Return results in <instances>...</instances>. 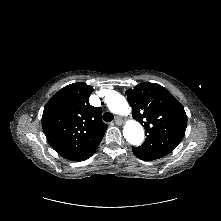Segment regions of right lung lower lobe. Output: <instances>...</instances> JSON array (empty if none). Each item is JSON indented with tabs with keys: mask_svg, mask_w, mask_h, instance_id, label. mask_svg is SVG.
<instances>
[{
	"mask_svg": "<svg viewBox=\"0 0 221 221\" xmlns=\"http://www.w3.org/2000/svg\"><path fill=\"white\" fill-rule=\"evenodd\" d=\"M97 147H98V146H97ZM97 147H96L92 152H90L88 155H86V156H85L82 160H80V161H84V160L90 158V157L94 154V152L96 151Z\"/></svg>",
	"mask_w": 221,
	"mask_h": 221,
	"instance_id": "1",
	"label": "right lung lower lobe"
}]
</instances>
